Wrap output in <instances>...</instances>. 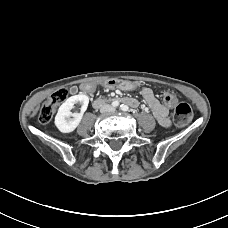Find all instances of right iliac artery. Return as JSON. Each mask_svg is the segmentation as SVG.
Instances as JSON below:
<instances>
[{
	"label": "right iliac artery",
	"instance_id": "obj_1",
	"mask_svg": "<svg viewBox=\"0 0 228 228\" xmlns=\"http://www.w3.org/2000/svg\"><path fill=\"white\" fill-rule=\"evenodd\" d=\"M112 106H113V107L119 106V102H118V101H113V102H112Z\"/></svg>",
	"mask_w": 228,
	"mask_h": 228
}]
</instances>
